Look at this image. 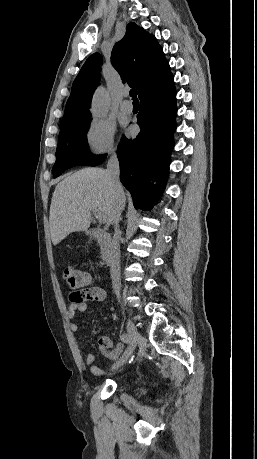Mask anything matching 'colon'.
<instances>
[{
  "instance_id": "colon-1",
  "label": "colon",
  "mask_w": 257,
  "mask_h": 459,
  "mask_svg": "<svg viewBox=\"0 0 257 459\" xmlns=\"http://www.w3.org/2000/svg\"><path fill=\"white\" fill-rule=\"evenodd\" d=\"M66 283L76 292L75 300L82 301L89 297L87 285L91 281V276L86 271L74 267H67L63 273Z\"/></svg>"
}]
</instances>
